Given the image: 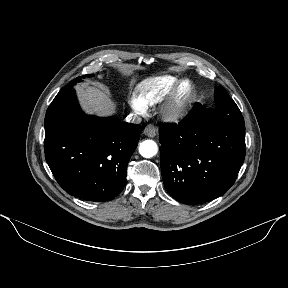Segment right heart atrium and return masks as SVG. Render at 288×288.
<instances>
[{"label":"right heart atrium","mask_w":288,"mask_h":288,"mask_svg":"<svg viewBox=\"0 0 288 288\" xmlns=\"http://www.w3.org/2000/svg\"><path fill=\"white\" fill-rule=\"evenodd\" d=\"M129 106L137 113L143 114L146 112V107L140 102L136 96H130L128 98Z\"/></svg>","instance_id":"right-heart-atrium-1"}]
</instances>
